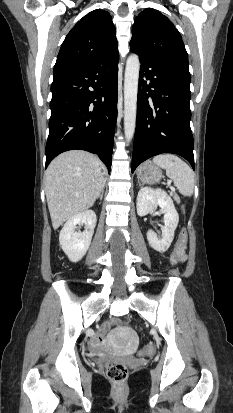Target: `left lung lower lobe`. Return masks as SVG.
<instances>
[{
    "label": "left lung lower lobe",
    "mask_w": 233,
    "mask_h": 413,
    "mask_svg": "<svg viewBox=\"0 0 233 413\" xmlns=\"http://www.w3.org/2000/svg\"><path fill=\"white\" fill-rule=\"evenodd\" d=\"M138 55L141 69L132 173L143 161L165 152L184 157L195 169L190 77L167 64Z\"/></svg>",
    "instance_id": "1"
}]
</instances>
